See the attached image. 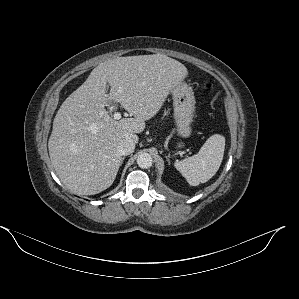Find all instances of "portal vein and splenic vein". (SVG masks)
Instances as JSON below:
<instances>
[{"label": "portal vein and splenic vein", "mask_w": 299, "mask_h": 299, "mask_svg": "<svg viewBox=\"0 0 299 299\" xmlns=\"http://www.w3.org/2000/svg\"><path fill=\"white\" fill-rule=\"evenodd\" d=\"M113 118H114L115 120H119V119L121 118V114H120L119 112H115V113L113 114Z\"/></svg>", "instance_id": "18ae733b"}]
</instances>
